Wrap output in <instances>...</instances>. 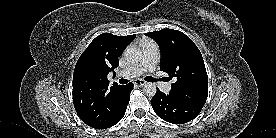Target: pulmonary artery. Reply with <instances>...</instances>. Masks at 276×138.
Returning <instances> with one entry per match:
<instances>
[{
  "label": "pulmonary artery",
  "mask_w": 276,
  "mask_h": 138,
  "mask_svg": "<svg viewBox=\"0 0 276 138\" xmlns=\"http://www.w3.org/2000/svg\"><path fill=\"white\" fill-rule=\"evenodd\" d=\"M142 58L141 61L125 70L120 71L117 78H136L145 72H153L159 59V49L156 43L146 40L141 45ZM159 86L162 91L168 93L171 90L170 82H160Z\"/></svg>",
  "instance_id": "pulmonary-artery-1"
}]
</instances>
